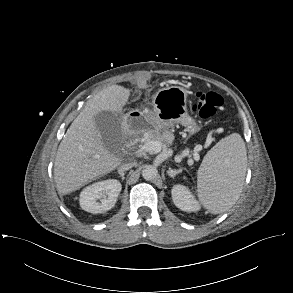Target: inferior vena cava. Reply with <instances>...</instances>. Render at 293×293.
<instances>
[{"label": "inferior vena cava", "mask_w": 293, "mask_h": 293, "mask_svg": "<svg viewBox=\"0 0 293 293\" xmlns=\"http://www.w3.org/2000/svg\"><path fill=\"white\" fill-rule=\"evenodd\" d=\"M135 162H126V163H123L121 166H119L118 170L120 172H123V171H127L129 169H131L132 167L135 166Z\"/></svg>", "instance_id": "inferior-vena-cava-1"}]
</instances>
